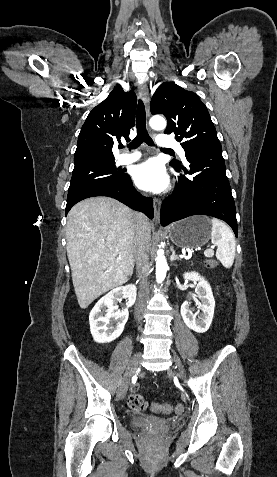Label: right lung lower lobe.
Returning <instances> with one entry per match:
<instances>
[{
  "instance_id": "right-lung-lower-lobe-1",
  "label": "right lung lower lobe",
  "mask_w": 277,
  "mask_h": 477,
  "mask_svg": "<svg viewBox=\"0 0 277 477\" xmlns=\"http://www.w3.org/2000/svg\"><path fill=\"white\" fill-rule=\"evenodd\" d=\"M94 196L112 197L130 208L144 212L153 219V200L141 196L133 187L130 176L122 183L102 182L90 185L67 197L66 215L77 202Z\"/></svg>"
}]
</instances>
